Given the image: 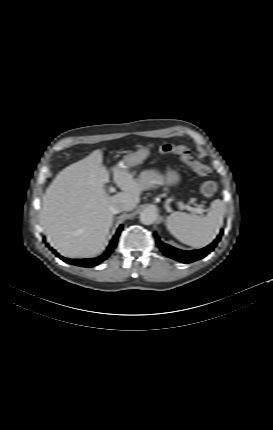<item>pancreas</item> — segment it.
Instances as JSON below:
<instances>
[{
    "mask_svg": "<svg viewBox=\"0 0 273 430\" xmlns=\"http://www.w3.org/2000/svg\"><path fill=\"white\" fill-rule=\"evenodd\" d=\"M139 183L142 190L154 188L156 185H163V176L155 170L143 171L139 176Z\"/></svg>",
    "mask_w": 273,
    "mask_h": 430,
    "instance_id": "cf45deb5",
    "label": "pancreas"
}]
</instances>
